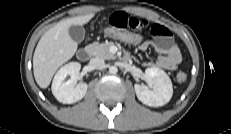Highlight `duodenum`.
Here are the masks:
<instances>
[{
    "instance_id": "obj_1",
    "label": "duodenum",
    "mask_w": 231,
    "mask_h": 134,
    "mask_svg": "<svg viewBox=\"0 0 231 134\" xmlns=\"http://www.w3.org/2000/svg\"><path fill=\"white\" fill-rule=\"evenodd\" d=\"M90 55H91V50L88 47L81 48L77 52V58L81 62L87 61L90 58Z\"/></svg>"
}]
</instances>
